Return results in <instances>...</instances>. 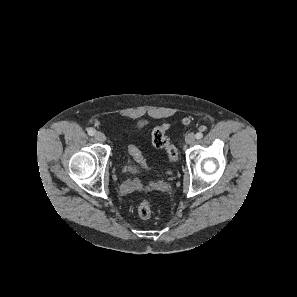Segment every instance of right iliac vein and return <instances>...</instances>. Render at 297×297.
<instances>
[{
	"instance_id": "right-iliac-vein-1",
	"label": "right iliac vein",
	"mask_w": 297,
	"mask_h": 297,
	"mask_svg": "<svg viewBox=\"0 0 297 297\" xmlns=\"http://www.w3.org/2000/svg\"><path fill=\"white\" fill-rule=\"evenodd\" d=\"M94 137H95L96 141H98L100 143H103L106 140V137L102 132H96Z\"/></svg>"
}]
</instances>
